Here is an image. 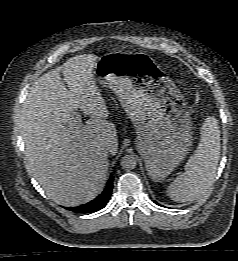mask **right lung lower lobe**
<instances>
[{"instance_id": "right-lung-lower-lobe-1", "label": "right lung lower lobe", "mask_w": 238, "mask_h": 261, "mask_svg": "<svg viewBox=\"0 0 238 261\" xmlns=\"http://www.w3.org/2000/svg\"><path fill=\"white\" fill-rule=\"evenodd\" d=\"M113 189V176L110 177L108 184L104 188L103 192L94 200L74 208H68L73 212L78 213H92L104 208L111 197Z\"/></svg>"}]
</instances>
